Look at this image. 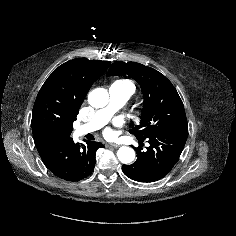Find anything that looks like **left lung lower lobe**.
<instances>
[{
  "label": "left lung lower lobe",
  "mask_w": 236,
  "mask_h": 236,
  "mask_svg": "<svg viewBox=\"0 0 236 236\" xmlns=\"http://www.w3.org/2000/svg\"><path fill=\"white\" fill-rule=\"evenodd\" d=\"M188 137V125L157 133L147 138L146 151L136 148L137 160L123 165L122 171L138 182H155L164 178L178 161Z\"/></svg>",
  "instance_id": "left-lung-lower-lobe-1"
}]
</instances>
